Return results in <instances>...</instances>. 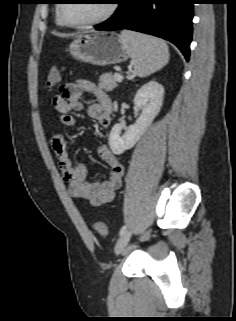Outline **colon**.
<instances>
[{"label":"colon","mask_w":236,"mask_h":321,"mask_svg":"<svg viewBox=\"0 0 236 321\" xmlns=\"http://www.w3.org/2000/svg\"><path fill=\"white\" fill-rule=\"evenodd\" d=\"M60 80V71L57 67H53L46 78V88L48 90L54 88ZM93 230L101 237L108 234L107 225L103 221H94L92 224Z\"/></svg>","instance_id":"obj_1"}]
</instances>
